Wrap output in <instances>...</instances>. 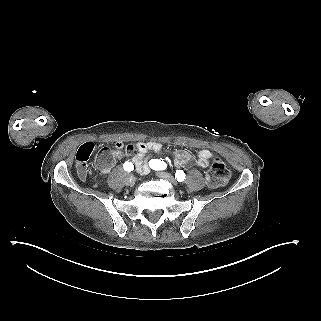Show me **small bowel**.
I'll use <instances>...</instances> for the list:
<instances>
[{"label": "small bowel", "instance_id": "obj_1", "mask_svg": "<svg viewBox=\"0 0 321 321\" xmlns=\"http://www.w3.org/2000/svg\"><path fill=\"white\" fill-rule=\"evenodd\" d=\"M134 149L137 151L136 155L132 158L133 165L140 173H147L150 170V157L147 155L149 152L160 153L162 151V144L156 141L137 142L134 144ZM95 150V143L92 141L84 143L78 150L76 159L84 156L88 160L89 156ZM128 150L120 141L116 142L115 150L108 148H101L97 159V167L101 174L107 175L114 167L116 161L127 155ZM213 157V153L209 150L203 149L197 152L196 156L191 155L185 150H176L173 153V160L177 166L191 167L197 166L199 168L207 167L209 160ZM80 176V175H79ZM85 179L86 176H80Z\"/></svg>", "mask_w": 321, "mask_h": 321}]
</instances>
